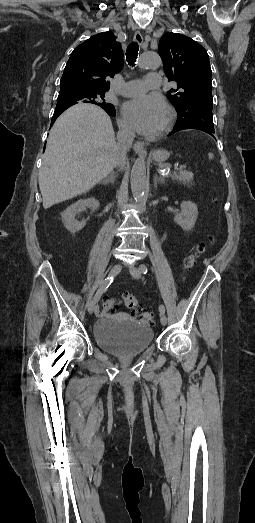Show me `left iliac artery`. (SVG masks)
<instances>
[{
  "instance_id": "left-iliac-artery-1",
  "label": "left iliac artery",
  "mask_w": 255,
  "mask_h": 523,
  "mask_svg": "<svg viewBox=\"0 0 255 523\" xmlns=\"http://www.w3.org/2000/svg\"><path fill=\"white\" fill-rule=\"evenodd\" d=\"M139 270H140L141 273H143V274H146L147 271H148L146 265H144V264H141V265L139 266ZM159 312H160L161 314H164V313H165V307H164V305L161 304V305L159 306Z\"/></svg>"
}]
</instances>
